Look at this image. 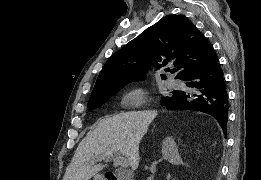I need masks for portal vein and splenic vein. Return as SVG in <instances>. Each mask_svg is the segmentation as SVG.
Wrapping results in <instances>:
<instances>
[{"mask_svg":"<svg viewBox=\"0 0 261 180\" xmlns=\"http://www.w3.org/2000/svg\"><path fill=\"white\" fill-rule=\"evenodd\" d=\"M116 154H117V156H119V162H120V164H125V162H126V164H127V160H125V158H121L120 152H116Z\"/></svg>","mask_w":261,"mask_h":180,"instance_id":"1","label":"portal vein and splenic vein"}]
</instances>
